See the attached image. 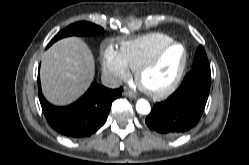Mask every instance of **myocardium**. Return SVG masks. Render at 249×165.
Listing matches in <instances>:
<instances>
[{"instance_id": "myocardium-1", "label": "myocardium", "mask_w": 249, "mask_h": 165, "mask_svg": "<svg viewBox=\"0 0 249 165\" xmlns=\"http://www.w3.org/2000/svg\"><path fill=\"white\" fill-rule=\"evenodd\" d=\"M174 47L182 48L183 57L171 81L162 87L153 88V87L146 86L143 83L144 75L148 71H150L153 67L157 66L161 62L162 58L166 55V53ZM187 62H188L187 47L181 42L172 41L171 43L164 46L161 50H159L153 57L145 60L137 67V69L135 70L136 83L144 92H146L152 97H155V98L166 97L169 94H171L180 84L182 77L184 75L186 66H187Z\"/></svg>"}]
</instances>
